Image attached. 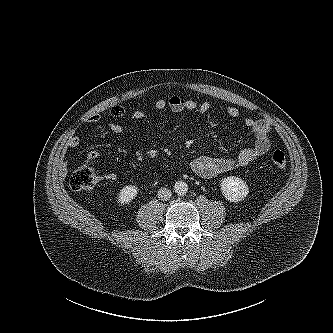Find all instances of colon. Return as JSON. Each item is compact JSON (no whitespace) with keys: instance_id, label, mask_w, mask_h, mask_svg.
I'll return each mask as SVG.
<instances>
[{"instance_id":"5ec220e1","label":"colon","mask_w":333,"mask_h":333,"mask_svg":"<svg viewBox=\"0 0 333 333\" xmlns=\"http://www.w3.org/2000/svg\"><path fill=\"white\" fill-rule=\"evenodd\" d=\"M272 165L279 170H286L287 160L284 153L280 150L272 152L270 157ZM99 182L93 164L90 162L83 163L69 177L68 185L75 191L87 190L95 187Z\"/></svg>"}]
</instances>
